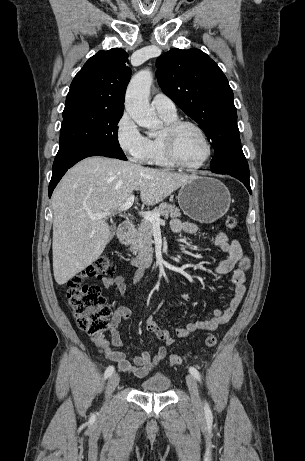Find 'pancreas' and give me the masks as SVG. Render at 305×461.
I'll return each mask as SVG.
<instances>
[{"instance_id": "obj_1", "label": "pancreas", "mask_w": 305, "mask_h": 461, "mask_svg": "<svg viewBox=\"0 0 305 461\" xmlns=\"http://www.w3.org/2000/svg\"><path fill=\"white\" fill-rule=\"evenodd\" d=\"M154 213H159L165 218H178L181 217L180 209L174 204L163 202L158 207L154 208ZM153 227L152 223L143 219L134 229L129 238L125 241V245L129 247L130 251L138 257H149L153 253Z\"/></svg>"}]
</instances>
